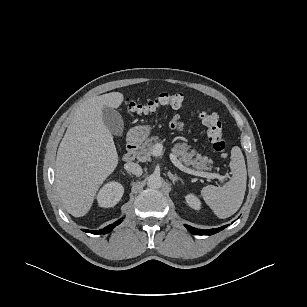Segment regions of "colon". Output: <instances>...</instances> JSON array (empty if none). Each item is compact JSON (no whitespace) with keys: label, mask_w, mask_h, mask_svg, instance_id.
Instances as JSON below:
<instances>
[{"label":"colon","mask_w":307,"mask_h":307,"mask_svg":"<svg viewBox=\"0 0 307 307\" xmlns=\"http://www.w3.org/2000/svg\"><path fill=\"white\" fill-rule=\"evenodd\" d=\"M186 99L182 94H168L162 93L157 98L148 101L146 103H138L135 101H126L127 108L137 114H151L162 107H172L179 109L183 107ZM199 116L203 124L207 128V136L212 144V147L216 152L220 154L222 158L228 156L227 143L223 135L222 124L219 119V115L210 110L204 109L199 111Z\"/></svg>","instance_id":"colon-1"}]
</instances>
